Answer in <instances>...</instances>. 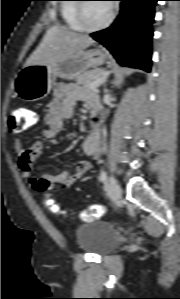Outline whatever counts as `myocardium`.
Here are the masks:
<instances>
[{
	"mask_svg": "<svg viewBox=\"0 0 180 299\" xmlns=\"http://www.w3.org/2000/svg\"><path fill=\"white\" fill-rule=\"evenodd\" d=\"M80 1H85V0H80ZM109 5H110V12L106 20L97 26H88L86 24V19L84 15L85 2H79L76 8V20L81 28V31L87 33H93L107 28L112 23L115 17L114 7L111 4Z\"/></svg>",
	"mask_w": 180,
	"mask_h": 299,
	"instance_id": "myocardium-1",
	"label": "myocardium"
}]
</instances>
